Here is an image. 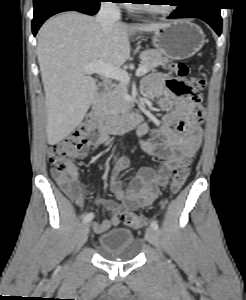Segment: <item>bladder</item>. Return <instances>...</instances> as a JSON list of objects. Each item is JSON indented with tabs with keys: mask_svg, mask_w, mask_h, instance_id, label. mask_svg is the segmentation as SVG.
I'll use <instances>...</instances> for the list:
<instances>
[{
	"mask_svg": "<svg viewBox=\"0 0 246 300\" xmlns=\"http://www.w3.org/2000/svg\"><path fill=\"white\" fill-rule=\"evenodd\" d=\"M98 249L109 258L131 261L139 255L141 243L134 237L131 230L124 227H116L100 234Z\"/></svg>",
	"mask_w": 246,
	"mask_h": 300,
	"instance_id": "31cf9c89",
	"label": "bladder"
}]
</instances>
